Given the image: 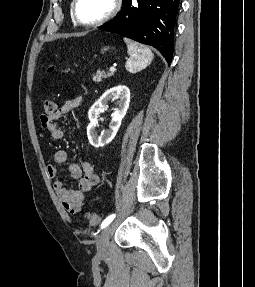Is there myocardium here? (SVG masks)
<instances>
[{
	"instance_id": "f54148a6",
	"label": "myocardium",
	"mask_w": 255,
	"mask_h": 287,
	"mask_svg": "<svg viewBox=\"0 0 255 287\" xmlns=\"http://www.w3.org/2000/svg\"><path fill=\"white\" fill-rule=\"evenodd\" d=\"M98 33H107V32H98ZM100 39H107V38H100Z\"/></svg>"
}]
</instances>
